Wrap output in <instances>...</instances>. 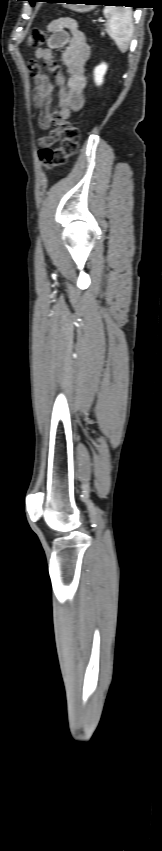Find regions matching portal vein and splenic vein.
<instances>
[{
    "instance_id": "obj_1",
    "label": "portal vein and splenic vein",
    "mask_w": 162,
    "mask_h": 851,
    "mask_svg": "<svg viewBox=\"0 0 162 851\" xmlns=\"http://www.w3.org/2000/svg\"><path fill=\"white\" fill-rule=\"evenodd\" d=\"M99 22H104V20H102V19H99Z\"/></svg>"
}]
</instances>
